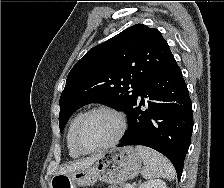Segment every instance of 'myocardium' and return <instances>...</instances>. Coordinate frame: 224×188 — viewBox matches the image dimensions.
Listing matches in <instances>:
<instances>
[{"mask_svg": "<svg viewBox=\"0 0 224 188\" xmlns=\"http://www.w3.org/2000/svg\"><path fill=\"white\" fill-rule=\"evenodd\" d=\"M97 112H104V113H108V114L114 116L118 121L119 129H118V132L115 135V137L108 143H106L100 147L86 149L83 146H81L78 141L79 130H80V127L83 124V122L86 120V118H88L90 115L97 113ZM126 129H127V121H126L125 115L122 112H120L112 107H109V106H97V107H94V108L86 111L85 113H83L77 120L75 127L73 129V134H72L73 145H74L75 149L81 154H92V153L101 152V151H104L106 149H109V148L115 146L123 137Z\"/></svg>", "mask_w": 224, "mask_h": 188, "instance_id": "f54148a6", "label": "myocardium"}]
</instances>
